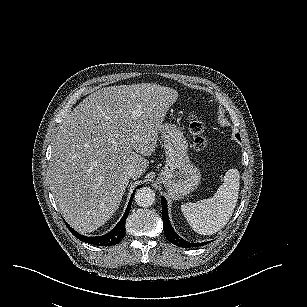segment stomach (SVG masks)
<instances>
[{
  "label": "stomach",
  "instance_id": "stomach-1",
  "mask_svg": "<svg viewBox=\"0 0 307 307\" xmlns=\"http://www.w3.org/2000/svg\"><path fill=\"white\" fill-rule=\"evenodd\" d=\"M159 133L164 143L166 161L157 180L172 198L180 199L198 187L201 173L191 162L188 140L176 125L163 123Z\"/></svg>",
  "mask_w": 307,
  "mask_h": 307
}]
</instances>
